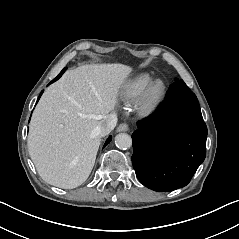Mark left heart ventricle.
Wrapping results in <instances>:
<instances>
[{"label":"left heart ventricle","mask_w":239,"mask_h":239,"mask_svg":"<svg viewBox=\"0 0 239 239\" xmlns=\"http://www.w3.org/2000/svg\"><path fill=\"white\" fill-rule=\"evenodd\" d=\"M161 88H162L161 85L156 86V88L152 93V99L156 98L159 95Z\"/></svg>","instance_id":"obj_1"}]
</instances>
